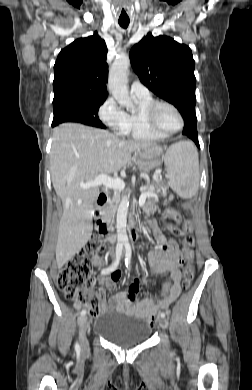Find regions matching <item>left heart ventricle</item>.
I'll return each instance as SVG.
<instances>
[{
  "instance_id": "b2bd125f",
  "label": "left heart ventricle",
  "mask_w": 252,
  "mask_h": 390,
  "mask_svg": "<svg viewBox=\"0 0 252 390\" xmlns=\"http://www.w3.org/2000/svg\"><path fill=\"white\" fill-rule=\"evenodd\" d=\"M158 125L164 130H174L179 126L176 113L167 106H161L156 114Z\"/></svg>"
}]
</instances>
